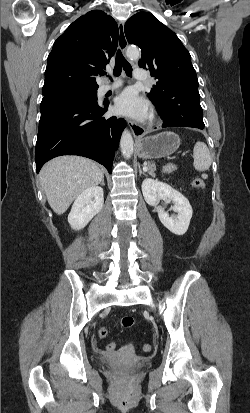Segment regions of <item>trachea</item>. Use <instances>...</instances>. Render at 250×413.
Wrapping results in <instances>:
<instances>
[{"mask_svg": "<svg viewBox=\"0 0 250 413\" xmlns=\"http://www.w3.org/2000/svg\"><path fill=\"white\" fill-rule=\"evenodd\" d=\"M122 68L125 70V73L127 76L132 75V66L128 63V61L124 58L122 55L121 51L118 50L116 54V61H115V67H114V75L119 76L121 74ZM105 74V73H104Z\"/></svg>", "mask_w": 250, "mask_h": 413, "instance_id": "trachea-1", "label": "trachea"}]
</instances>
